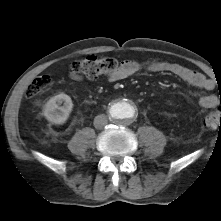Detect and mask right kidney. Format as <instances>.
<instances>
[{"label": "right kidney", "mask_w": 221, "mask_h": 221, "mask_svg": "<svg viewBox=\"0 0 221 221\" xmlns=\"http://www.w3.org/2000/svg\"><path fill=\"white\" fill-rule=\"evenodd\" d=\"M63 103V106H60ZM73 109V103L70 96L61 93L46 103L44 108V116L52 124H64Z\"/></svg>", "instance_id": "ca27d5eb"}]
</instances>
